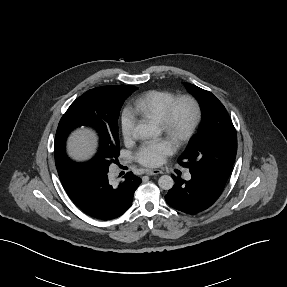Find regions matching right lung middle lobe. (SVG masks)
Segmentation results:
<instances>
[{"mask_svg": "<svg viewBox=\"0 0 287 287\" xmlns=\"http://www.w3.org/2000/svg\"><path fill=\"white\" fill-rule=\"evenodd\" d=\"M135 86H103L91 89L76 99L61 118L55 137V150H64L68 133L80 125L92 126L98 132V152L87 164L108 172L111 163L118 162V117L125 99Z\"/></svg>", "mask_w": 287, "mask_h": 287, "instance_id": "right-lung-middle-lobe-1", "label": "right lung middle lobe"}]
</instances>
